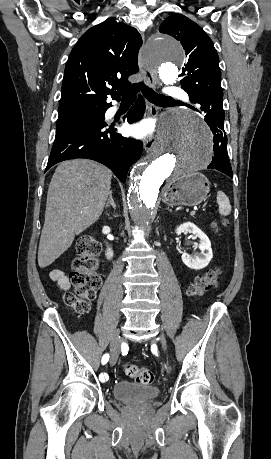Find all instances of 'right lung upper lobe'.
Returning a JSON list of instances; mask_svg holds the SVG:
<instances>
[{"mask_svg": "<svg viewBox=\"0 0 271 459\" xmlns=\"http://www.w3.org/2000/svg\"><path fill=\"white\" fill-rule=\"evenodd\" d=\"M141 44L136 29L115 20L90 28L75 44L66 63L59 111L109 106L107 95L117 87L129 86L127 78L138 72Z\"/></svg>", "mask_w": 271, "mask_h": 459, "instance_id": "obj_1", "label": "right lung upper lobe"}]
</instances>
